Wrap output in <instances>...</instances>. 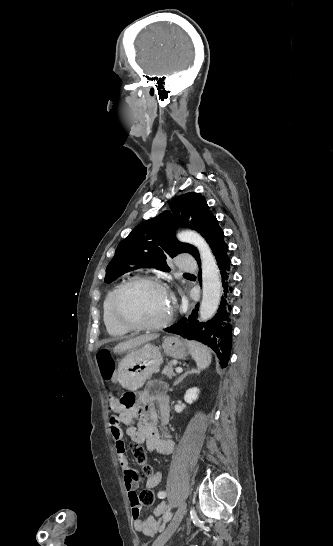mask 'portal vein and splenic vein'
Segmentation results:
<instances>
[{"label": "portal vein and splenic vein", "mask_w": 333, "mask_h": 546, "mask_svg": "<svg viewBox=\"0 0 333 546\" xmlns=\"http://www.w3.org/2000/svg\"><path fill=\"white\" fill-rule=\"evenodd\" d=\"M175 371H176L177 373H181V372L183 371V369L180 368V367H178V368L175 369Z\"/></svg>", "instance_id": "obj_1"}]
</instances>
